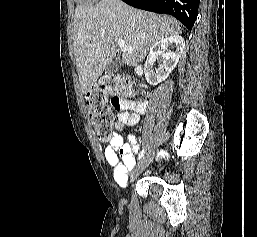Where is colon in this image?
<instances>
[{
    "instance_id": "obj_1",
    "label": "colon",
    "mask_w": 257,
    "mask_h": 237,
    "mask_svg": "<svg viewBox=\"0 0 257 237\" xmlns=\"http://www.w3.org/2000/svg\"><path fill=\"white\" fill-rule=\"evenodd\" d=\"M133 94L130 80L116 75L103 77L88 92L86 104L89 117L101 141H108L113 135L114 115L109 108V100L113 105L129 99Z\"/></svg>"
}]
</instances>
